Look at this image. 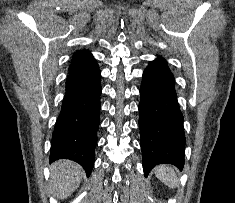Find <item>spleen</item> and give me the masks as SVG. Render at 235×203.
<instances>
[{"label":"spleen","instance_id":"spleen-1","mask_svg":"<svg viewBox=\"0 0 235 203\" xmlns=\"http://www.w3.org/2000/svg\"><path fill=\"white\" fill-rule=\"evenodd\" d=\"M156 177L170 188L178 186V177L173 168L167 165L157 166L154 170Z\"/></svg>","mask_w":235,"mask_h":203}]
</instances>
